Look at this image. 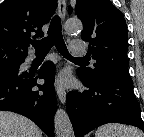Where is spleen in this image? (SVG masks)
<instances>
[{"instance_id":"3e777b00","label":"spleen","mask_w":144,"mask_h":137,"mask_svg":"<svg viewBox=\"0 0 144 137\" xmlns=\"http://www.w3.org/2000/svg\"><path fill=\"white\" fill-rule=\"evenodd\" d=\"M95 137H144V133L136 127L108 123L96 130Z\"/></svg>"}]
</instances>
